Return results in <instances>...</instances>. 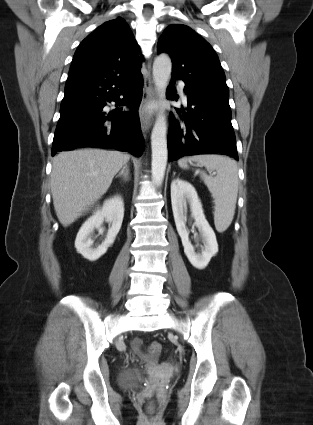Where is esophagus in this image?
Listing matches in <instances>:
<instances>
[{
    "label": "esophagus",
    "mask_w": 313,
    "mask_h": 425,
    "mask_svg": "<svg viewBox=\"0 0 313 425\" xmlns=\"http://www.w3.org/2000/svg\"><path fill=\"white\" fill-rule=\"evenodd\" d=\"M148 68H151L150 63L148 64ZM155 98L156 89L153 85L150 74H148L144 79V94L140 106V123L142 132L144 134L148 132L152 124V116L148 111V106L155 101Z\"/></svg>",
    "instance_id": "1"
}]
</instances>
